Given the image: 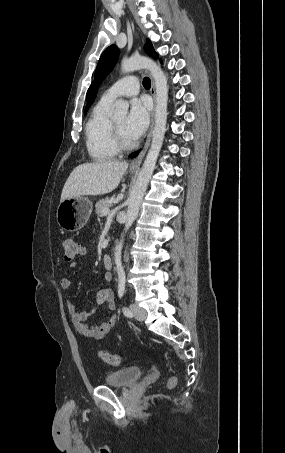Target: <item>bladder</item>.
I'll return each mask as SVG.
<instances>
[{"mask_svg": "<svg viewBox=\"0 0 285 453\" xmlns=\"http://www.w3.org/2000/svg\"><path fill=\"white\" fill-rule=\"evenodd\" d=\"M143 373L141 367H125L106 373L103 377V382L107 386L125 388L137 382L143 376Z\"/></svg>", "mask_w": 285, "mask_h": 453, "instance_id": "obj_1", "label": "bladder"}]
</instances>
